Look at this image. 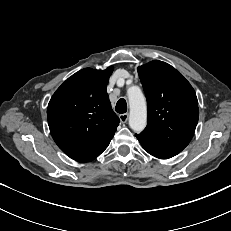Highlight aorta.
Segmentation results:
<instances>
[{
	"mask_svg": "<svg viewBox=\"0 0 231 231\" xmlns=\"http://www.w3.org/2000/svg\"><path fill=\"white\" fill-rule=\"evenodd\" d=\"M128 99L130 106L129 126L139 133L144 130L147 123V106L145 97L138 86L128 89Z\"/></svg>",
	"mask_w": 231,
	"mask_h": 231,
	"instance_id": "762f6f07",
	"label": "aorta"
}]
</instances>
